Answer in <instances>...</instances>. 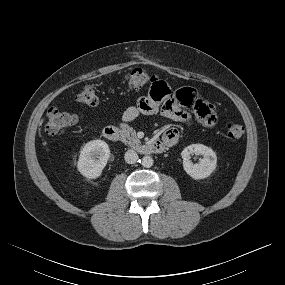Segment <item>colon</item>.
<instances>
[{
  "instance_id": "obj_1",
  "label": "colon",
  "mask_w": 285,
  "mask_h": 285,
  "mask_svg": "<svg viewBox=\"0 0 285 285\" xmlns=\"http://www.w3.org/2000/svg\"><path fill=\"white\" fill-rule=\"evenodd\" d=\"M157 77L147 73L142 69H134L125 77V82L130 90H138L148 86L150 81ZM76 101L82 105L94 107L98 104V96L92 85H86L77 94ZM75 115L52 107L47 111L44 123V129L49 135H58L66 132L76 124ZM244 134V128L241 124L230 122L226 125V135L229 139L238 140Z\"/></svg>"
}]
</instances>
